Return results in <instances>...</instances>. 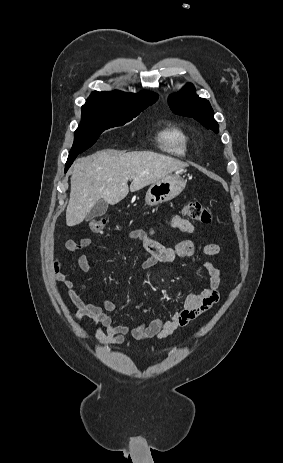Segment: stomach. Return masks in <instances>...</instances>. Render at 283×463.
<instances>
[{
	"instance_id": "stomach-1",
	"label": "stomach",
	"mask_w": 283,
	"mask_h": 463,
	"mask_svg": "<svg viewBox=\"0 0 283 463\" xmlns=\"http://www.w3.org/2000/svg\"><path fill=\"white\" fill-rule=\"evenodd\" d=\"M186 186V180L179 176H166L153 183L145 196V204L157 206L178 196Z\"/></svg>"
}]
</instances>
